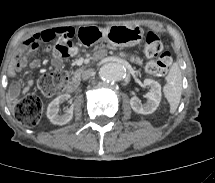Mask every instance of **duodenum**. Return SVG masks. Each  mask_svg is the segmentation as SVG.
Wrapping results in <instances>:
<instances>
[{
  "label": "duodenum",
  "instance_id": "1",
  "mask_svg": "<svg viewBox=\"0 0 215 183\" xmlns=\"http://www.w3.org/2000/svg\"><path fill=\"white\" fill-rule=\"evenodd\" d=\"M77 86H78V81L76 79L70 81L66 87V92H68V93L74 92L76 90Z\"/></svg>",
  "mask_w": 215,
  "mask_h": 183
}]
</instances>
